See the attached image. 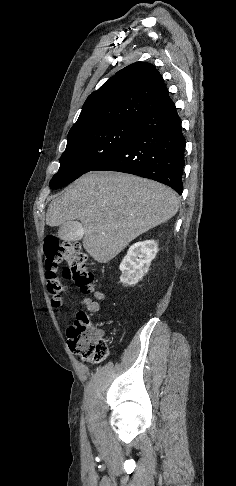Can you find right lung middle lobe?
Returning <instances> with one entry per match:
<instances>
[{
  "mask_svg": "<svg viewBox=\"0 0 236 486\" xmlns=\"http://www.w3.org/2000/svg\"><path fill=\"white\" fill-rule=\"evenodd\" d=\"M137 126V123L114 124L69 137L50 187L61 188L91 171L125 145L136 134Z\"/></svg>",
  "mask_w": 236,
  "mask_h": 486,
  "instance_id": "obj_1",
  "label": "right lung middle lobe"
}]
</instances>
